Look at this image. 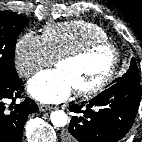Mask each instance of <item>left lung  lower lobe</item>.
<instances>
[{
    "label": "left lung lower lobe",
    "instance_id": "0a47b994",
    "mask_svg": "<svg viewBox=\"0 0 142 142\" xmlns=\"http://www.w3.org/2000/svg\"><path fill=\"white\" fill-rule=\"evenodd\" d=\"M137 79L115 83L90 101L69 106L73 116L65 142H117L130 130L141 98Z\"/></svg>",
    "mask_w": 142,
    "mask_h": 142
}]
</instances>
